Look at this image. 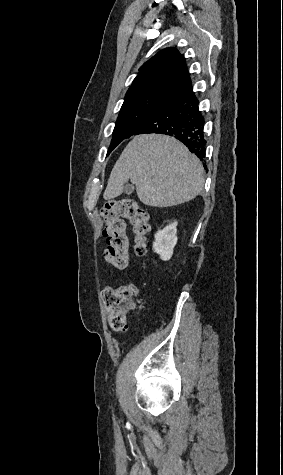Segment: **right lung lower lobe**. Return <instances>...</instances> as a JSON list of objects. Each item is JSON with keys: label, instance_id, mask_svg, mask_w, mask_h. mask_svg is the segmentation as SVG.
Wrapping results in <instances>:
<instances>
[{"label": "right lung lower lobe", "instance_id": "right-lung-lower-lobe-1", "mask_svg": "<svg viewBox=\"0 0 283 475\" xmlns=\"http://www.w3.org/2000/svg\"><path fill=\"white\" fill-rule=\"evenodd\" d=\"M198 104L191 82L187 83L144 117L126 138L143 133L173 136L203 161L206 145L203 135L204 117L199 111Z\"/></svg>", "mask_w": 283, "mask_h": 475}]
</instances>
